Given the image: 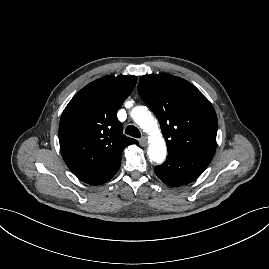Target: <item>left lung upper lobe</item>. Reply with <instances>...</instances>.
Masks as SVG:
<instances>
[{
  "mask_svg": "<svg viewBox=\"0 0 269 269\" xmlns=\"http://www.w3.org/2000/svg\"><path fill=\"white\" fill-rule=\"evenodd\" d=\"M138 92L158 118L168 151L213 158L218 121L209 100L188 81L169 74L140 77Z\"/></svg>",
  "mask_w": 269,
  "mask_h": 269,
  "instance_id": "obj_1",
  "label": "left lung upper lobe"
}]
</instances>
